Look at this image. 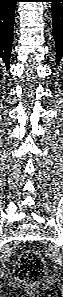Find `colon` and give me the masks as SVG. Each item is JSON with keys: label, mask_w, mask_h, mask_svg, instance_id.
Here are the masks:
<instances>
[{"label": "colon", "mask_w": 63, "mask_h": 297, "mask_svg": "<svg viewBox=\"0 0 63 297\" xmlns=\"http://www.w3.org/2000/svg\"><path fill=\"white\" fill-rule=\"evenodd\" d=\"M16 275L19 279L34 283L44 275V263L41 257L33 251L24 253L16 265Z\"/></svg>", "instance_id": "5ec220e1"}]
</instances>
